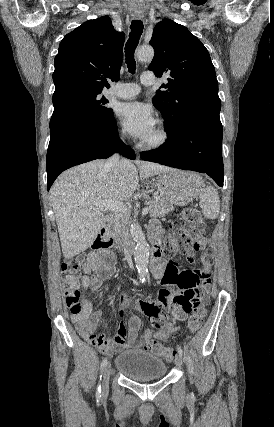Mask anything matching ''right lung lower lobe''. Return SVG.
<instances>
[{
    "label": "right lung lower lobe",
    "mask_w": 274,
    "mask_h": 427,
    "mask_svg": "<svg viewBox=\"0 0 274 427\" xmlns=\"http://www.w3.org/2000/svg\"><path fill=\"white\" fill-rule=\"evenodd\" d=\"M135 159L134 151L118 137L114 115L101 122L74 121L59 126L51 135L47 151V189L64 170L116 151Z\"/></svg>",
    "instance_id": "right-lung-lower-lobe-1"
}]
</instances>
